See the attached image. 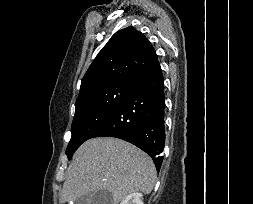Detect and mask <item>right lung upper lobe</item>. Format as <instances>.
<instances>
[{
	"label": "right lung upper lobe",
	"mask_w": 253,
	"mask_h": 204,
	"mask_svg": "<svg viewBox=\"0 0 253 204\" xmlns=\"http://www.w3.org/2000/svg\"><path fill=\"white\" fill-rule=\"evenodd\" d=\"M158 61L155 49L133 27L116 32L82 78L79 97L117 82H135Z\"/></svg>",
	"instance_id": "cb5924a9"
}]
</instances>
